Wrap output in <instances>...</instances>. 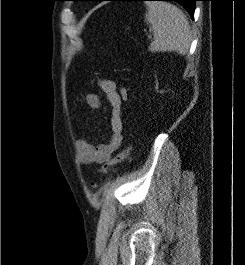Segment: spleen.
I'll list each match as a JSON object with an SVG mask.
<instances>
[{
  "mask_svg": "<svg viewBox=\"0 0 245 265\" xmlns=\"http://www.w3.org/2000/svg\"><path fill=\"white\" fill-rule=\"evenodd\" d=\"M145 21L153 30L154 41L151 52H177L185 55L192 41L191 30L186 15L175 5L163 1L145 2Z\"/></svg>",
  "mask_w": 245,
  "mask_h": 265,
  "instance_id": "obj_1",
  "label": "spleen"
}]
</instances>
